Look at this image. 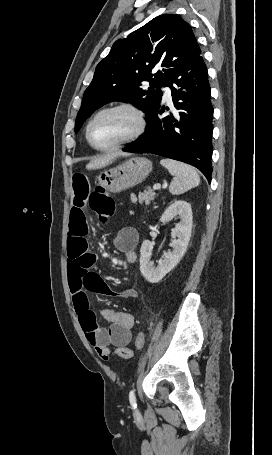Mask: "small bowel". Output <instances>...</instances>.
I'll use <instances>...</instances> for the list:
<instances>
[{
    "instance_id": "obj_1",
    "label": "small bowel",
    "mask_w": 272,
    "mask_h": 455,
    "mask_svg": "<svg viewBox=\"0 0 272 455\" xmlns=\"http://www.w3.org/2000/svg\"><path fill=\"white\" fill-rule=\"evenodd\" d=\"M91 180L84 172H77L72 178L73 205L70 212L69 231L67 240L68 250V280L72 292L75 311L88 342L95 348L103 360H108L112 354L124 359H132L134 354L127 346L131 342V330L134 317L126 311L106 308L102 311L103 318L109 326L101 327L90 309L87 293L105 296L135 299L138 292L133 288L114 290L108 286L92 267L96 255L88 246V220L86 207L90 197ZM113 244L125 255L127 263L137 261L136 247L138 233L132 227L120 229ZM123 352H128L125 355Z\"/></svg>"
}]
</instances>
